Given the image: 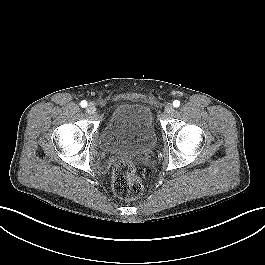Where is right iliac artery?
<instances>
[{"instance_id": "right-iliac-artery-1", "label": "right iliac artery", "mask_w": 265, "mask_h": 265, "mask_svg": "<svg viewBox=\"0 0 265 265\" xmlns=\"http://www.w3.org/2000/svg\"><path fill=\"white\" fill-rule=\"evenodd\" d=\"M80 105L82 108H85V107H87V102L85 100H83V101H81Z\"/></svg>"}]
</instances>
